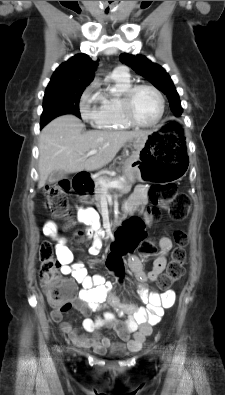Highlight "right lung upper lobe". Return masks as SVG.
Instances as JSON below:
<instances>
[{
  "instance_id": "cb5924a9",
  "label": "right lung upper lobe",
  "mask_w": 225,
  "mask_h": 395,
  "mask_svg": "<svg viewBox=\"0 0 225 395\" xmlns=\"http://www.w3.org/2000/svg\"><path fill=\"white\" fill-rule=\"evenodd\" d=\"M98 61L86 54H77L61 64L54 72L48 87L89 85L94 78Z\"/></svg>"
}]
</instances>
